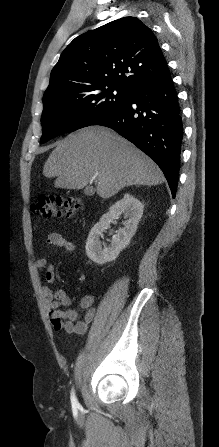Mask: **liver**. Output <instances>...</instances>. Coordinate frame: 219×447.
<instances>
[{
	"mask_svg": "<svg viewBox=\"0 0 219 447\" xmlns=\"http://www.w3.org/2000/svg\"><path fill=\"white\" fill-rule=\"evenodd\" d=\"M43 175L55 188L82 189L94 179L104 199L132 185L164 182L156 163L132 143L101 126L82 128L59 141L45 162Z\"/></svg>",
	"mask_w": 219,
	"mask_h": 447,
	"instance_id": "liver-1",
	"label": "liver"
}]
</instances>
